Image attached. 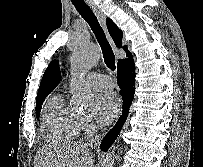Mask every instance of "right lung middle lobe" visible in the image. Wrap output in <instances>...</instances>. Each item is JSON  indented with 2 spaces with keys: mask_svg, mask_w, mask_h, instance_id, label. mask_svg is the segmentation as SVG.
<instances>
[{
  "mask_svg": "<svg viewBox=\"0 0 203 167\" xmlns=\"http://www.w3.org/2000/svg\"><path fill=\"white\" fill-rule=\"evenodd\" d=\"M42 103H43V101L37 103V106H36V116H37V118H39Z\"/></svg>",
  "mask_w": 203,
  "mask_h": 167,
  "instance_id": "right-lung-middle-lobe-1",
  "label": "right lung middle lobe"
}]
</instances>
